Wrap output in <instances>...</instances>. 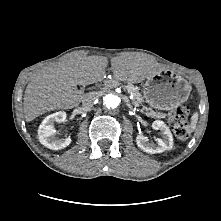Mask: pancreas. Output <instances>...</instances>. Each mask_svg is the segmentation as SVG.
<instances>
[{"mask_svg":"<svg viewBox=\"0 0 221 221\" xmlns=\"http://www.w3.org/2000/svg\"><path fill=\"white\" fill-rule=\"evenodd\" d=\"M124 89L133 94V97H134V102L133 103L136 106L139 105V104H142L144 102V99H143L141 93L139 92V87L134 86L131 83H128L127 85L124 86ZM144 110L147 111L146 114L148 116L156 117V118H163L164 117V115L162 113L153 111L152 109H150L146 106L142 107V112H144Z\"/></svg>","mask_w":221,"mask_h":221,"instance_id":"obj_1","label":"pancreas"}]
</instances>
